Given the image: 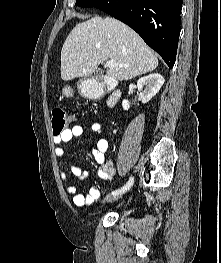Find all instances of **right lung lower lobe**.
I'll return each mask as SVG.
<instances>
[{"label": "right lung lower lobe", "mask_w": 221, "mask_h": 263, "mask_svg": "<svg viewBox=\"0 0 221 263\" xmlns=\"http://www.w3.org/2000/svg\"><path fill=\"white\" fill-rule=\"evenodd\" d=\"M182 0H103L96 8L135 30L172 68L181 24Z\"/></svg>", "instance_id": "1"}]
</instances>
